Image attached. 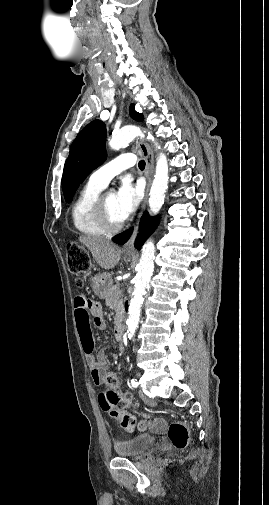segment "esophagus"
<instances>
[{"label": "esophagus", "mask_w": 269, "mask_h": 505, "mask_svg": "<svg viewBox=\"0 0 269 505\" xmlns=\"http://www.w3.org/2000/svg\"><path fill=\"white\" fill-rule=\"evenodd\" d=\"M137 148L139 149V152L142 154V156L146 162L145 176L147 179V185H146V190H145V197H144L143 204H142V212H143V210L145 209V206H146L148 192H149L152 178H153V174H154V157H153V153H152L150 146L144 140L137 141ZM142 212L139 216V219L142 215ZM138 226H139V220L134 225L131 237L123 246V251L126 253H134L135 252L134 243H135V239L138 234Z\"/></svg>", "instance_id": "esophagus-1"}]
</instances>
